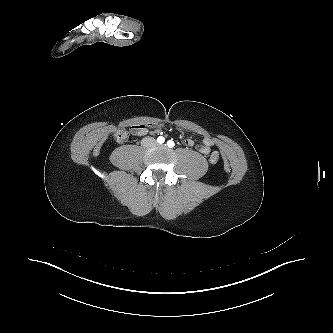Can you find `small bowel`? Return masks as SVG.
I'll use <instances>...</instances> for the list:
<instances>
[{"instance_id":"small-bowel-1","label":"small bowel","mask_w":333,"mask_h":333,"mask_svg":"<svg viewBox=\"0 0 333 333\" xmlns=\"http://www.w3.org/2000/svg\"><path fill=\"white\" fill-rule=\"evenodd\" d=\"M131 133L134 136H143L147 133V127L145 125L132 126ZM183 143L188 147L194 146V141L189 138L184 139ZM212 144L213 142L210 138H204L202 143L197 146V149L201 154L207 155L211 151Z\"/></svg>"}]
</instances>
